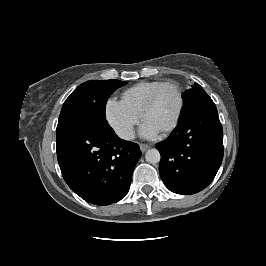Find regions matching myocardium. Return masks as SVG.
Listing matches in <instances>:
<instances>
[{"mask_svg":"<svg viewBox=\"0 0 266 266\" xmlns=\"http://www.w3.org/2000/svg\"><path fill=\"white\" fill-rule=\"evenodd\" d=\"M169 86L175 88V90H176V92L178 94L179 103H178V109H177V112L175 114L174 119L172 120V122L166 128L161 130L162 133H169L177 126V124H178V122H179V120L181 118L183 109H184V94H183L181 86L178 83L173 82V81H169V82H164L160 86H158L152 92V94L150 95V97L148 98L146 103L144 104V106H143V108L141 110V113H140L141 118L144 121L148 110L153 106V104L155 103V101H156L157 97L159 96L160 92L164 88L169 87Z\"/></svg>","mask_w":266,"mask_h":266,"instance_id":"obj_1","label":"myocardium"}]
</instances>
